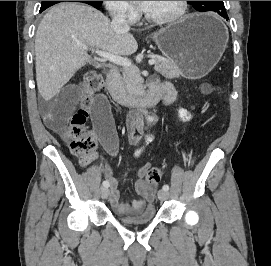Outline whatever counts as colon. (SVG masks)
Wrapping results in <instances>:
<instances>
[{
    "instance_id": "1",
    "label": "colon",
    "mask_w": 271,
    "mask_h": 266,
    "mask_svg": "<svg viewBox=\"0 0 271 266\" xmlns=\"http://www.w3.org/2000/svg\"><path fill=\"white\" fill-rule=\"evenodd\" d=\"M81 88L85 95L80 109L73 115L66 136L70 141V150L77 156H82L93 151L96 145V139L87 131L85 123L89 115L93 98L103 88V79L98 71L89 70L85 73ZM161 171L152 167L146 173V186H153L160 182Z\"/></svg>"
}]
</instances>
